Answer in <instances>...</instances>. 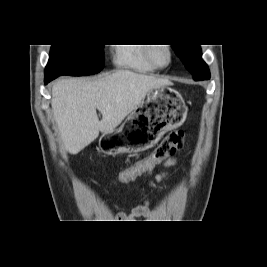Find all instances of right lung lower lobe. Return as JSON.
<instances>
[{
    "label": "right lung lower lobe",
    "instance_id": "98d812e1",
    "mask_svg": "<svg viewBox=\"0 0 267 267\" xmlns=\"http://www.w3.org/2000/svg\"><path fill=\"white\" fill-rule=\"evenodd\" d=\"M58 76L57 75H47L45 76V84H48L50 81L54 80L55 78H57Z\"/></svg>",
    "mask_w": 267,
    "mask_h": 267
}]
</instances>
